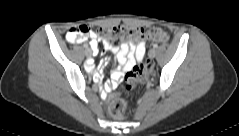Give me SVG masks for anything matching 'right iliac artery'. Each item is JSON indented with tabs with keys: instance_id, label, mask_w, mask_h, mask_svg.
<instances>
[{
	"instance_id": "82829eb1",
	"label": "right iliac artery",
	"mask_w": 239,
	"mask_h": 136,
	"mask_svg": "<svg viewBox=\"0 0 239 136\" xmlns=\"http://www.w3.org/2000/svg\"><path fill=\"white\" fill-rule=\"evenodd\" d=\"M88 49V44H84V50Z\"/></svg>"
}]
</instances>
